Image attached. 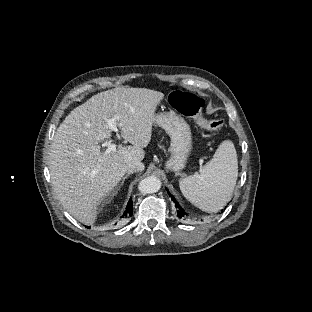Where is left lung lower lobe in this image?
I'll list each match as a JSON object with an SVG mask.
<instances>
[{"label": "left lung lower lobe", "mask_w": 312, "mask_h": 312, "mask_svg": "<svg viewBox=\"0 0 312 312\" xmlns=\"http://www.w3.org/2000/svg\"><path fill=\"white\" fill-rule=\"evenodd\" d=\"M172 199H173L174 202L176 203V206L179 207L178 203L176 202V200H175V198H174L173 196H172ZM177 212H178L177 216H178L179 218H182V217L185 215V213H184L182 210H178Z\"/></svg>", "instance_id": "obj_1"}]
</instances>
